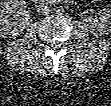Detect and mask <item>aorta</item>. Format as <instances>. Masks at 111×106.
I'll return each mask as SVG.
<instances>
[{
	"label": "aorta",
	"mask_w": 111,
	"mask_h": 106,
	"mask_svg": "<svg viewBox=\"0 0 111 106\" xmlns=\"http://www.w3.org/2000/svg\"><path fill=\"white\" fill-rule=\"evenodd\" d=\"M56 13H57V14H62V13H64V8H63V7H57V8H56Z\"/></svg>",
	"instance_id": "762f6f07"
}]
</instances>
